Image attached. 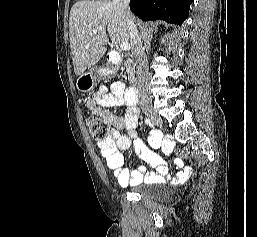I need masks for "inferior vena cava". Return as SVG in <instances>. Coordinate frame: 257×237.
Masks as SVG:
<instances>
[{
	"label": "inferior vena cava",
	"mask_w": 257,
	"mask_h": 237,
	"mask_svg": "<svg viewBox=\"0 0 257 237\" xmlns=\"http://www.w3.org/2000/svg\"><path fill=\"white\" fill-rule=\"evenodd\" d=\"M113 4L118 5L122 8L125 14V19L128 25L132 51L136 59L137 67V90L139 94L140 104L150 102L151 96L148 89V65L147 56L142 45L141 38L138 33L137 26L132 20L129 12V0H113Z\"/></svg>",
	"instance_id": "602c4592"
}]
</instances>
